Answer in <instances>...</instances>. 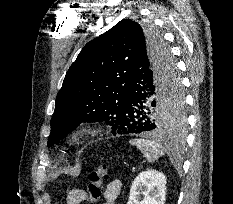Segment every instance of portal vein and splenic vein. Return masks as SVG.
<instances>
[{
	"mask_svg": "<svg viewBox=\"0 0 233 204\" xmlns=\"http://www.w3.org/2000/svg\"><path fill=\"white\" fill-rule=\"evenodd\" d=\"M133 171H135V167H133V169H132Z\"/></svg>",
	"mask_w": 233,
	"mask_h": 204,
	"instance_id": "18ae733b",
	"label": "portal vein and splenic vein"
}]
</instances>
